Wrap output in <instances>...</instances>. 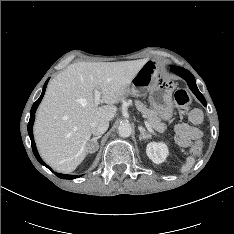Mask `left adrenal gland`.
<instances>
[{"label":"left adrenal gland","instance_id":"a2214340","mask_svg":"<svg viewBox=\"0 0 234 234\" xmlns=\"http://www.w3.org/2000/svg\"><path fill=\"white\" fill-rule=\"evenodd\" d=\"M138 129L140 131V136H139L140 141L151 138L152 135L150 133H147L144 127L139 126Z\"/></svg>","mask_w":234,"mask_h":234}]
</instances>
